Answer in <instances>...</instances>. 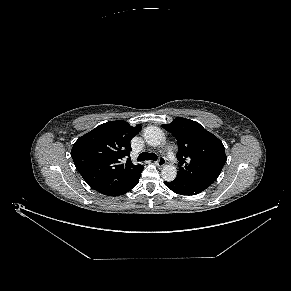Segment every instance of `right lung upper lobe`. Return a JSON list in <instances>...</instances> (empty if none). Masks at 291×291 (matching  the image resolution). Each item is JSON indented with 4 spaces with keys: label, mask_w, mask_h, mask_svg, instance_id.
Wrapping results in <instances>:
<instances>
[{
    "label": "right lung upper lobe",
    "mask_w": 291,
    "mask_h": 291,
    "mask_svg": "<svg viewBox=\"0 0 291 291\" xmlns=\"http://www.w3.org/2000/svg\"><path fill=\"white\" fill-rule=\"evenodd\" d=\"M140 129V125L132 127L126 121H111L75 142L71 156L91 188L100 193L119 189L144 168L133 165L130 159V140Z\"/></svg>",
    "instance_id": "obj_1"
}]
</instances>
